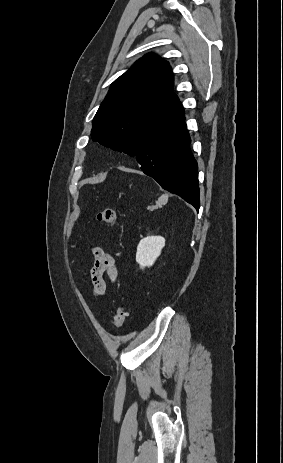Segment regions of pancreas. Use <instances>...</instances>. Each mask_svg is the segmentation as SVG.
<instances>
[{
    "mask_svg": "<svg viewBox=\"0 0 283 463\" xmlns=\"http://www.w3.org/2000/svg\"><path fill=\"white\" fill-rule=\"evenodd\" d=\"M155 208H156V207H153V206H152V207H150V210H153V209H155Z\"/></svg>",
    "mask_w": 283,
    "mask_h": 463,
    "instance_id": "obj_1",
    "label": "pancreas"
}]
</instances>
